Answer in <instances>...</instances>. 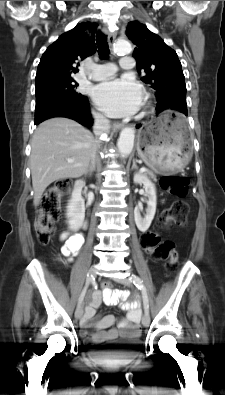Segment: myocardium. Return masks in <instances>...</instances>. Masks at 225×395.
Masks as SVG:
<instances>
[{"label":"myocardium","instance_id":"1","mask_svg":"<svg viewBox=\"0 0 225 395\" xmlns=\"http://www.w3.org/2000/svg\"><path fill=\"white\" fill-rule=\"evenodd\" d=\"M146 104H147V101L145 100V101H144V103H143V106L145 107V106H146Z\"/></svg>","mask_w":225,"mask_h":395}]
</instances>
